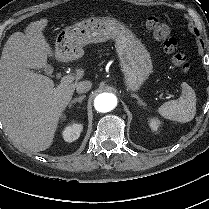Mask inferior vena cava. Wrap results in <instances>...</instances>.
Here are the masks:
<instances>
[{"label": "inferior vena cava", "instance_id": "obj_1", "mask_svg": "<svg viewBox=\"0 0 209 209\" xmlns=\"http://www.w3.org/2000/svg\"><path fill=\"white\" fill-rule=\"evenodd\" d=\"M92 83L88 80L81 81L76 84V92L77 93H85L91 89Z\"/></svg>", "mask_w": 209, "mask_h": 209}]
</instances>
